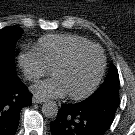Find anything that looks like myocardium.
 Returning <instances> with one entry per match:
<instances>
[{"label": "myocardium", "mask_w": 135, "mask_h": 135, "mask_svg": "<svg viewBox=\"0 0 135 135\" xmlns=\"http://www.w3.org/2000/svg\"><path fill=\"white\" fill-rule=\"evenodd\" d=\"M88 49H96L99 51L100 55H101V65H100V69L99 72L95 78V80L92 82V84L82 93L80 94H71L68 93V96L73 99V100H82L87 98L88 96H90L99 86L104 73H105V69H106V55L104 53V50L96 44H87V45H83V46H79L74 48L73 50H71L67 55H65L63 58H61L60 60H58L52 67V73L54 74V72L60 68L63 67L67 64H69L78 54H80L81 52L88 50Z\"/></svg>", "instance_id": "myocardium-1"}]
</instances>
